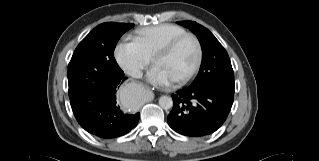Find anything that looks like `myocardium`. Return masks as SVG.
Masks as SVG:
<instances>
[{
  "mask_svg": "<svg viewBox=\"0 0 319 161\" xmlns=\"http://www.w3.org/2000/svg\"><path fill=\"white\" fill-rule=\"evenodd\" d=\"M191 39L193 40L195 47H196V59L195 62L192 66V68L183 76L177 78L176 80L173 81L174 84L176 85H180V84H184L187 81H189L190 79H192L199 71L200 66L202 64V60H203V48L201 45L200 40L198 39V37L193 34V33H184L182 35H179L173 39H171L170 41H168L166 44H164L154 55L152 62L153 64L156 63V61L158 59L164 58L168 55H170L175 48L185 39Z\"/></svg>",
  "mask_w": 319,
  "mask_h": 161,
  "instance_id": "obj_1",
  "label": "myocardium"
}]
</instances>
